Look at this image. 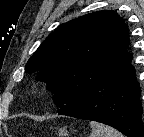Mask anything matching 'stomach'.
<instances>
[{"label": "stomach", "mask_w": 144, "mask_h": 137, "mask_svg": "<svg viewBox=\"0 0 144 137\" xmlns=\"http://www.w3.org/2000/svg\"><path fill=\"white\" fill-rule=\"evenodd\" d=\"M58 135H59V137H69L68 135V132H67V130L66 129H59V131H58Z\"/></svg>", "instance_id": "0dacf381"}]
</instances>
